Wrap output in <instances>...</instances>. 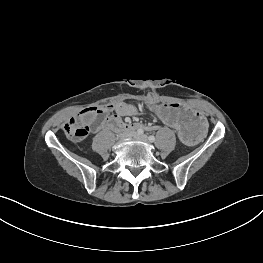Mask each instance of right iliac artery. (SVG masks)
Segmentation results:
<instances>
[{
    "instance_id": "82829eb1",
    "label": "right iliac artery",
    "mask_w": 263,
    "mask_h": 263,
    "mask_svg": "<svg viewBox=\"0 0 263 263\" xmlns=\"http://www.w3.org/2000/svg\"><path fill=\"white\" fill-rule=\"evenodd\" d=\"M137 133H138V134H143V130H142V129H138V130H137Z\"/></svg>"
}]
</instances>
